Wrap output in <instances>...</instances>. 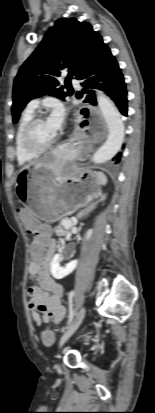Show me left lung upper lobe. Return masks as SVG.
I'll list each match as a JSON object with an SVG mask.
<instances>
[{"mask_svg":"<svg viewBox=\"0 0 155 413\" xmlns=\"http://www.w3.org/2000/svg\"><path fill=\"white\" fill-rule=\"evenodd\" d=\"M106 44L87 22L75 18L58 19L43 40L23 63L13 86V122L16 123L25 105L33 98L50 94L64 98L58 77L67 71L66 87L72 76L81 80L96 61Z\"/></svg>","mask_w":155,"mask_h":413,"instance_id":"obj_1","label":"left lung upper lobe"}]
</instances>
